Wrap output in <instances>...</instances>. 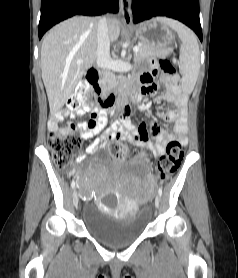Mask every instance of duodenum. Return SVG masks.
<instances>
[{"instance_id":"410a0bca","label":"duodenum","mask_w":238,"mask_h":278,"mask_svg":"<svg viewBox=\"0 0 238 278\" xmlns=\"http://www.w3.org/2000/svg\"><path fill=\"white\" fill-rule=\"evenodd\" d=\"M98 75L97 68L89 69L86 74V80L93 88L98 104L104 108L115 106L126 111L130 110L132 104L135 103V93L132 90H127L122 94L105 91L99 84Z\"/></svg>"}]
</instances>
